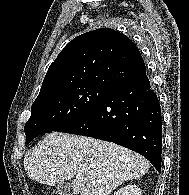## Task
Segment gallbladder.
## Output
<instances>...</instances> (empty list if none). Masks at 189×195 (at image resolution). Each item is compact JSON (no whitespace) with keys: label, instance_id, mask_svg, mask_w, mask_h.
<instances>
[{"label":"gallbladder","instance_id":"gallbladder-1","mask_svg":"<svg viewBox=\"0 0 189 195\" xmlns=\"http://www.w3.org/2000/svg\"><path fill=\"white\" fill-rule=\"evenodd\" d=\"M56 189L57 192L60 193V195H73L71 191V185L68 182L58 183Z\"/></svg>","mask_w":189,"mask_h":195}]
</instances>
